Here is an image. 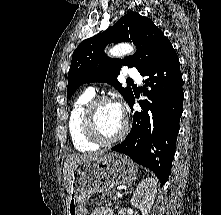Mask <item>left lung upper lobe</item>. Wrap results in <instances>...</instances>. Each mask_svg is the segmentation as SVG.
<instances>
[{
    "label": "left lung upper lobe",
    "mask_w": 221,
    "mask_h": 215,
    "mask_svg": "<svg viewBox=\"0 0 221 215\" xmlns=\"http://www.w3.org/2000/svg\"><path fill=\"white\" fill-rule=\"evenodd\" d=\"M133 42L137 51L122 59H112L104 52L109 43ZM170 43L154 23L136 12H129L103 33L82 41L73 52L68 72L67 97L70 98L83 83L106 82L114 86L127 103L134 94L122 88L117 76L122 65L136 67L140 74L147 71Z\"/></svg>",
    "instance_id": "1"
}]
</instances>
